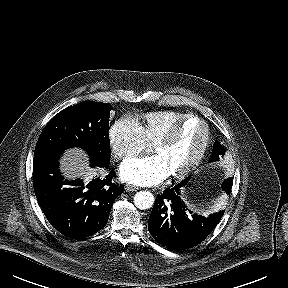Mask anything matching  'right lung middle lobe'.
Wrapping results in <instances>:
<instances>
[{"instance_id":"dd1d6c3e","label":"right lung middle lobe","mask_w":288,"mask_h":288,"mask_svg":"<svg viewBox=\"0 0 288 288\" xmlns=\"http://www.w3.org/2000/svg\"><path fill=\"white\" fill-rule=\"evenodd\" d=\"M108 103L83 101L53 117L42 131L34 152V162L58 160L64 150L84 149L91 165L110 162Z\"/></svg>"}]
</instances>
